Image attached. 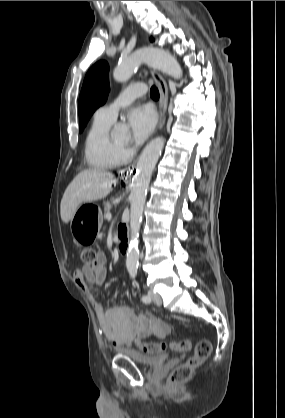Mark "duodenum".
Instances as JSON below:
<instances>
[{
  "instance_id": "1",
  "label": "duodenum",
  "mask_w": 285,
  "mask_h": 418,
  "mask_svg": "<svg viewBox=\"0 0 285 418\" xmlns=\"http://www.w3.org/2000/svg\"><path fill=\"white\" fill-rule=\"evenodd\" d=\"M117 237L119 239V251L122 255H126L129 249V241L126 237V234L123 233V229L121 227L117 230Z\"/></svg>"
}]
</instances>
